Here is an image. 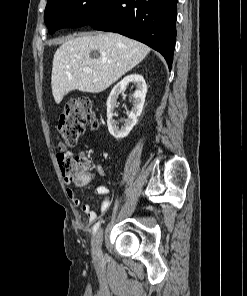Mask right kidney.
<instances>
[{
    "label": "right kidney",
    "instance_id": "obj_1",
    "mask_svg": "<svg viewBox=\"0 0 247 296\" xmlns=\"http://www.w3.org/2000/svg\"><path fill=\"white\" fill-rule=\"evenodd\" d=\"M134 83L136 90L133 94L134 104L131 111L127 114L124 126L119 128L117 123L113 120L114 108L117 106V99L119 94L124 91L129 83ZM147 92V85L142 75L133 73L124 77L119 83H117L108 99H107V125L110 134L116 139L125 138L132 128L138 122V117L142 113L143 105L145 102V96Z\"/></svg>",
    "mask_w": 247,
    "mask_h": 296
}]
</instances>
